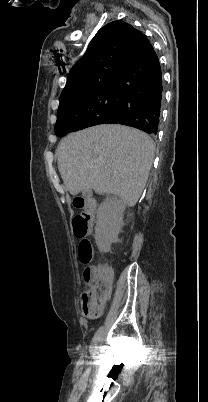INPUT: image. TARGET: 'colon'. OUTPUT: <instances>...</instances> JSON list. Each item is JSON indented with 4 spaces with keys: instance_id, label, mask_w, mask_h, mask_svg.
Segmentation results:
<instances>
[{
    "instance_id": "colon-1",
    "label": "colon",
    "mask_w": 208,
    "mask_h": 402,
    "mask_svg": "<svg viewBox=\"0 0 208 402\" xmlns=\"http://www.w3.org/2000/svg\"><path fill=\"white\" fill-rule=\"evenodd\" d=\"M74 235L82 238L79 247L76 249V254L80 259L81 265H86L83 273V280L86 282L84 292L81 293L83 305V314H104L108 296H111L112 289L111 279L113 267L107 266L106 263L94 261L92 256H89L93 244L87 241L90 238L89 229L91 227V218L88 214L78 216L73 219Z\"/></svg>"
}]
</instances>
